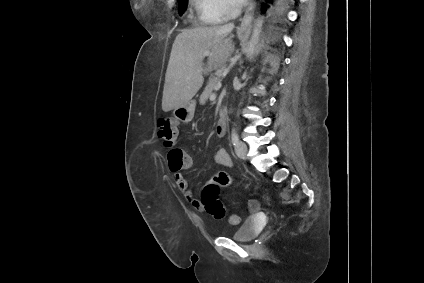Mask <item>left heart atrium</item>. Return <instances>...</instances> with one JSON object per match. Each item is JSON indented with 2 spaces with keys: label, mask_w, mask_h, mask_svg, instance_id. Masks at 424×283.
<instances>
[{
  "label": "left heart atrium",
  "mask_w": 424,
  "mask_h": 283,
  "mask_svg": "<svg viewBox=\"0 0 424 283\" xmlns=\"http://www.w3.org/2000/svg\"><path fill=\"white\" fill-rule=\"evenodd\" d=\"M247 0H238V3L242 4L245 3Z\"/></svg>",
  "instance_id": "obj_1"
}]
</instances>
